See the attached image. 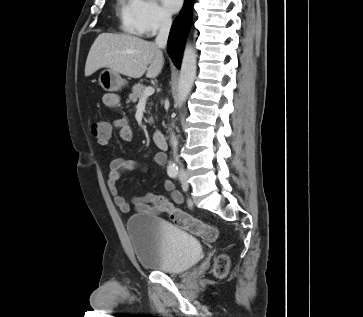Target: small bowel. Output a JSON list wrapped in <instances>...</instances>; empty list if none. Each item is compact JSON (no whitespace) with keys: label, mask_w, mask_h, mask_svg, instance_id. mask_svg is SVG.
<instances>
[{"label":"small bowel","mask_w":363,"mask_h":317,"mask_svg":"<svg viewBox=\"0 0 363 317\" xmlns=\"http://www.w3.org/2000/svg\"><path fill=\"white\" fill-rule=\"evenodd\" d=\"M102 102L106 107L115 110L119 107L120 97L115 93H107L102 97ZM114 130L118 132V136L122 141L128 142L133 139V130L128 121L124 117H117L110 123L105 122L103 133L99 136H95L98 139L99 144L103 146L108 145ZM153 159L160 167L165 164V158L161 154H156ZM140 167V162L122 157L110 161L107 185L114 203L122 212H129L131 206H133L137 212L157 216L168 213V206L182 203L183 195L174 189L172 182L169 180L164 181V188L170 193L171 200H168L162 195L146 193L141 196L133 197L131 201H127L119 192L117 181L124 171H130Z\"/></svg>","instance_id":"small-bowel-1"}]
</instances>
